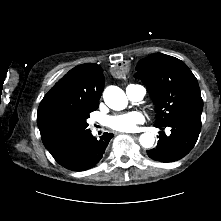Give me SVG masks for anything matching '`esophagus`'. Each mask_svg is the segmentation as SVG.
I'll use <instances>...</instances> for the list:
<instances>
[{
	"mask_svg": "<svg viewBox=\"0 0 221 221\" xmlns=\"http://www.w3.org/2000/svg\"><path fill=\"white\" fill-rule=\"evenodd\" d=\"M116 134H119V135H129V136H135L133 133H129V132H122V131H119V133H116Z\"/></svg>",
	"mask_w": 221,
	"mask_h": 221,
	"instance_id": "1",
	"label": "esophagus"
}]
</instances>
